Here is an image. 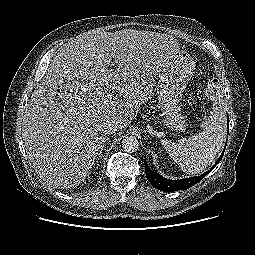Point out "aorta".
I'll return each instance as SVG.
<instances>
[{
    "instance_id": "1",
    "label": "aorta",
    "mask_w": 255,
    "mask_h": 255,
    "mask_svg": "<svg viewBox=\"0 0 255 255\" xmlns=\"http://www.w3.org/2000/svg\"><path fill=\"white\" fill-rule=\"evenodd\" d=\"M122 148L125 152L134 153L139 148V141L134 136H127L122 140Z\"/></svg>"
}]
</instances>
